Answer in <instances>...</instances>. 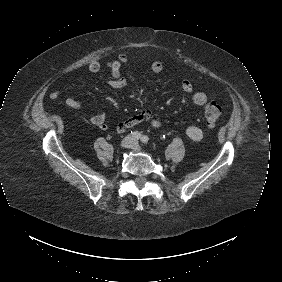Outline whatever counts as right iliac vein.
<instances>
[{
    "label": "right iliac vein",
    "instance_id": "63e3f726",
    "mask_svg": "<svg viewBox=\"0 0 282 282\" xmlns=\"http://www.w3.org/2000/svg\"><path fill=\"white\" fill-rule=\"evenodd\" d=\"M132 143H133V139L131 136H127L125 137L122 141H121V144L120 146L122 148H130L132 146Z\"/></svg>",
    "mask_w": 282,
    "mask_h": 282
}]
</instances>
